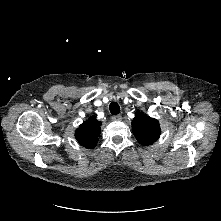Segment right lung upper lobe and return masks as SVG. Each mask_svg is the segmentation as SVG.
<instances>
[{
	"mask_svg": "<svg viewBox=\"0 0 221 221\" xmlns=\"http://www.w3.org/2000/svg\"><path fill=\"white\" fill-rule=\"evenodd\" d=\"M101 122L95 117H90L83 122L75 132V137L80 145L85 148H94L101 132Z\"/></svg>",
	"mask_w": 221,
	"mask_h": 221,
	"instance_id": "1",
	"label": "right lung upper lobe"
}]
</instances>
